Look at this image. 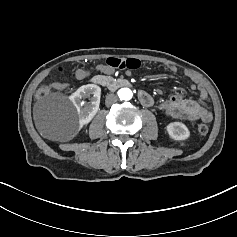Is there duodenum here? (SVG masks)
Instances as JSON below:
<instances>
[{
    "label": "duodenum",
    "instance_id": "obj_1",
    "mask_svg": "<svg viewBox=\"0 0 237 237\" xmlns=\"http://www.w3.org/2000/svg\"><path fill=\"white\" fill-rule=\"evenodd\" d=\"M92 83L100 87L119 88L129 87L131 83L126 79L114 80L105 75H96L91 79Z\"/></svg>",
    "mask_w": 237,
    "mask_h": 237
}]
</instances>
